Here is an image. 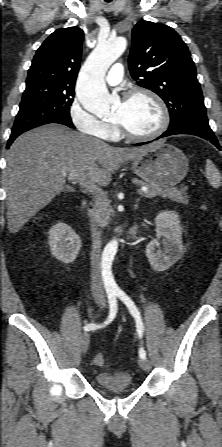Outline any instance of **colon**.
I'll return each mask as SVG.
<instances>
[{
    "mask_svg": "<svg viewBox=\"0 0 222 447\" xmlns=\"http://www.w3.org/2000/svg\"><path fill=\"white\" fill-rule=\"evenodd\" d=\"M94 363H95L96 365H103V364L105 363V357H104V355H103L102 353H97V354L94 356Z\"/></svg>",
    "mask_w": 222,
    "mask_h": 447,
    "instance_id": "colon-1",
    "label": "colon"
}]
</instances>
